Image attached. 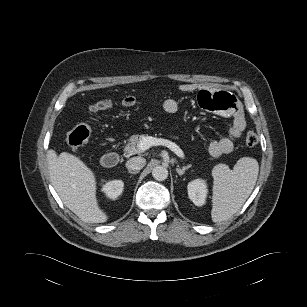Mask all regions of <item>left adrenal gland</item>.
<instances>
[{
	"mask_svg": "<svg viewBox=\"0 0 307 307\" xmlns=\"http://www.w3.org/2000/svg\"><path fill=\"white\" fill-rule=\"evenodd\" d=\"M191 166H192V165L189 164V165L184 166V167H182V168H176V172L178 173L179 176H182V175L185 173V171H186L187 169H189Z\"/></svg>",
	"mask_w": 307,
	"mask_h": 307,
	"instance_id": "1",
	"label": "left adrenal gland"
}]
</instances>
